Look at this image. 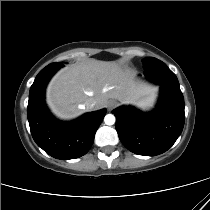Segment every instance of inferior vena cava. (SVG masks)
Instances as JSON below:
<instances>
[{
	"mask_svg": "<svg viewBox=\"0 0 210 210\" xmlns=\"http://www.w3.org/2000/svg\"><path fill=\"white\" fill-rule=\"evenodd\" d=\"M86 107L88 109H93L96 105V102L94 99H89L86 103H85Z\"/></svg>",
	"mask_w": 210,
	"mask_h": 210,
	"instance_id": "1",
	"label": "inferior vena cava"
}]
</instances>
